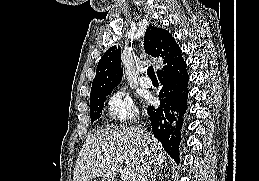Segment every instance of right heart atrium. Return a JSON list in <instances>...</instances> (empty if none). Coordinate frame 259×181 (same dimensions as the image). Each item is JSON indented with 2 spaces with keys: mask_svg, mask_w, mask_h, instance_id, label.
<instances>
[{
  "mask_svg": "<svg viewBox=\"0 0 259 181\" xmlns=\"http://www.w3.org/2000/svg\"><path fill=\"white\" fill-rule=\"evenodd\" d=\"M106 114L110 120L122 124L136 117L137 108L130 94L117 90L106 101Z\"/></svg>",
  "mask_w": 259,
  "mask_h": 181,
  "instance_id": "d8ad5b80",
  "label": "right heart atrium"
}]
</instances>
